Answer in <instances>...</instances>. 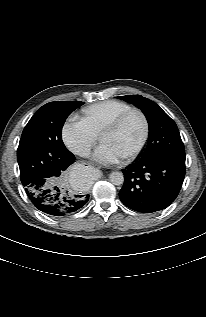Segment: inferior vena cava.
Here are the masks:
<instances>
[{"label": "inferior vena cava", "instance_id": "602c4592", "mask_svg": "<svg viewBox=\"0 0 206 317\" xmlns=\"http://www.w3.org/2000/svg\"><path fill=\"white\" fill-rule=\"evenodd\" d=\"M76 154L81 157H89L90 156V149L86 147H80L76 150Z\"/></svg>", "mask_w": 206, "mask_h": 317}]
</instances>
